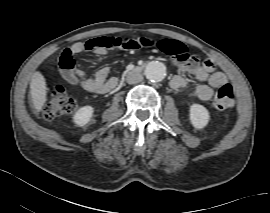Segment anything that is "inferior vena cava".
<instances>
[{
  "label": "inferior vena cava",
  "instance_id": "inferior-vena-cava-1",
  "mask_svg": "<svg viewBox=\"0 0 270 213\" xmlns=\"http://www.w3.org/2000/svg\"><path fill=\"white\" fill-rule=\"evenodd\" d=\"M143 81V76L137 72H130L127 75V82L129 84H137Z\"/></svg>",
  "mask_w": 270,
  "mask_h": 213
}]
</instances>
